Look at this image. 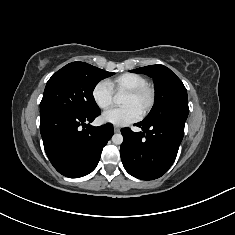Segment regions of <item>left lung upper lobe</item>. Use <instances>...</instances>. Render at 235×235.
<instances>
[{"instance_id":"1","label":"left lung upper lobe","mask_w":235,"mask_h":235,"mask_svg":"<svg viewBox=\"0 0 235 235\" xmlns=\"http://www.w3.org/2000/svg\"><path fill=\"white\" fill-rule=\"evenodd\" d=\"M153 78L155 83V102L143 121L165 117L187 119L189 113L187 90L182 81L166 66L150 65L131 70Z\"/></svg>"}]
</instances>
